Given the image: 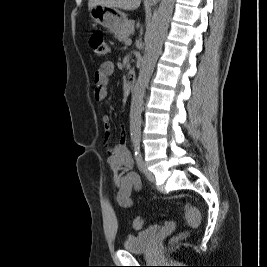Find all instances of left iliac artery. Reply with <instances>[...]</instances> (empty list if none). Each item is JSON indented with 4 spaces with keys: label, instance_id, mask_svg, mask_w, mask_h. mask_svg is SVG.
Listing matches in <instances>:
<instances>
[{
    "label": "left iliac artery",
    "instance_id": "obj_1",
    "mask_svg": "<svg viewBox=\"0 0 267 267\" xmlns=\"http://www.w3.org/2000/svg\"><path fill=\"white\" fill-rule=\"evenodd\" d=\"M134 155H135V160H136V163H137L139 169L142 170L143 159H142V155H141V151H140V142L139 141L134 142Z\"/></svg>",
    "mask_w": 267,
    "mask_h": 267
}]
</instances>
